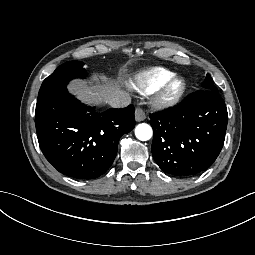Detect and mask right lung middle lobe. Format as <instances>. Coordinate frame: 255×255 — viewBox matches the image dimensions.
<instances>
[{"instance_id":"right-lung-middle-lobe-1","label":"right lung middle lobe","mask_w":255,"mask_h":255,"mask_svg":"<svg viewBox=\"0 0 255 255\" xmlns=\"http://www.w3.org/2000/svg\"><path fill=\"white\" fill-rule=\"evenodd\" d=\"M86 69L83 68V62L70 61L60 65L49 77H47L39 90L38 101L67 90L66 86L74 78H85Z\"/></svg>"}]
</instances>
